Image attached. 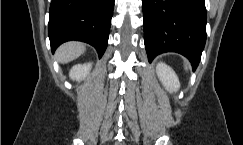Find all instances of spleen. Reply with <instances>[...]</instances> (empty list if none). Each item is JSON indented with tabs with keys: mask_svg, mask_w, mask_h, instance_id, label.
<instances>
[{
	"mask_svg": "<svg viewBox=\"0 0 243 145\" xmlns=\"http://www.w3.org/2000/svg\"><path fill=\"white\" fill-rule=\"evenodd\" d=\"M184 66H185V69H187V68H188V64H187V63H186Z\"/></svg>",
	"mask_w": 243,
	"mask_h": 145,
	"instance_id": "spleen-1",
	"label": "spleen"
}]
</instances>
